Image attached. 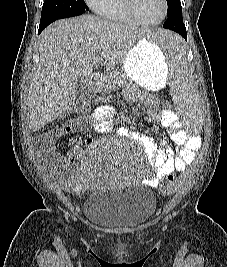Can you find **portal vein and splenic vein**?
Segmentation results:
<instances>
[{
    "instance_id": "1",
    "label": "portal vein and splenic vein",
    "mask_w": 227,
    "mask_h": 267,
    "mask_svg": "<svg viewBox=\"0 0 227 267\" xmlns=\"http://www.w3.org/2000/svg\"><path fill=\"white\" fill-rule=\"evenodd\" d=\"M97 63H98V60L97 59L93 61V64H97Z\"/></svg>"
}]
</instances>
